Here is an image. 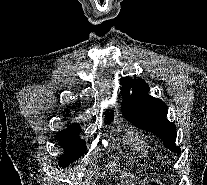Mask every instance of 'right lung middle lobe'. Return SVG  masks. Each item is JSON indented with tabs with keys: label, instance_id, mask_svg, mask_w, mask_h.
Wrapping results in <instances>:
<instances>
[{
	"label": "right lung middle lobe",
	"instance_id": "obj_1",
	"mask_svg": "<svg viewBox=\"0 0 207 185\" xmlns=\"http://www.w3.org/2000/svg\"><path fill=\"white\" fill-rule=\"evenodd\" d=\"M81 128L67 127V130L58 132L56 138L65 149V153L59 158V166H67L80 158L87 150L86 144L79 138Z\"/></svg>",
	"mask_w": 207,
	"mask_h": 185
}]
</instances>
